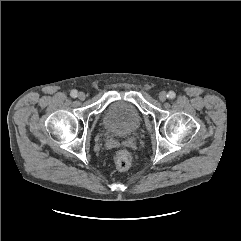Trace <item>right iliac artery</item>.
I'll list each match as a JSON object with an SVG mask.
<instances>
[{
    "mask_svg": "<svg viewBox=\"0 0 241 241\" xmlns=\"http://www.w3.org/2000/svg\"><path fill=\"white\" fill-rule=\"evenodd\" d=\"M77 94H78L77 90H72L71 93H70V95H71L73 98H76V97H77Z\"/></svg>",
    "mask_w": 241,
    "mask_h": 241,
    "instance_id": "82829eb1",
    "label": "right iliac artery"
}]
</instances>
